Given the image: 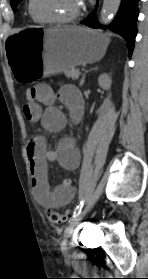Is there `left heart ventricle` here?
Here are the masks:
<instances>
[{
    "label": "left heart ventricle",
    "mask_w": 148,
    "mask_h": 279,
    "mask_svg": "<svg viewBox=\"0 0 148 279\" xmlns=\"http://www.w3.org/2000/svg\"><path fill=\"white\" fill-rule=\"evenodd\" d=\"M82 0H35V12L41 17L64 18L76 13Z\"/></svg>",
    "instance_id": "1"
}]
</instances>
